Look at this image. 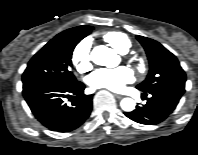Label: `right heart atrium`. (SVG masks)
<instances>
[{"label": "right heart atrium", "instance_id": "1", "mask_svg": "<svg viewBox=\"0 0 198 155\" xmlns=\"http://www.w3.org/2000/svg\"><path fill=\"white\" fill-rule=\"evenodd\" d=\"M91 42L82 40L76 45L72 53V63L80 73L87 72L91 68Z\"/></svg>", "mask_w": 198, "mask_h": 155}]
</instances>
